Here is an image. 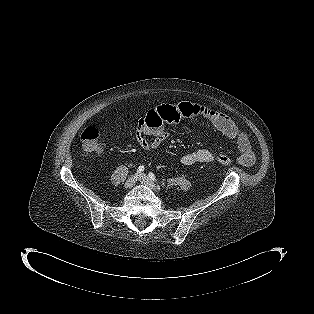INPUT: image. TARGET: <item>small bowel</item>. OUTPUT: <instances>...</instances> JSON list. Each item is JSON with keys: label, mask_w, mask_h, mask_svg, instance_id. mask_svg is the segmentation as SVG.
Listing matches in <instances>:
<instances>
[{"label": "small bowel", "mask_w": 314, "mask_h": 314, "mask_svg": "<svg viewBox=\"0 0 314 314\" xmlns=\"http://www.w3.org/2000/svg\"><path fill=\"white\" fill-rule=\"evenodd\" d=\"M191 104V103H190ZM180 101L176 104L164 103L148 111L140 118L136 127V139L143 150H152L159 147L168 137L165 125H179L188 122L191 118H200L225 137L235 140L239 157L238 161L245 167L254 163V152L247 134L239 129L236 123L226 114L198 104ZM216 160V155L207 149H198L183 154L180 161L185 166L197 163H210Z\"/></svg>", "instance_id": "small-bowel-1"}]
</instances>
